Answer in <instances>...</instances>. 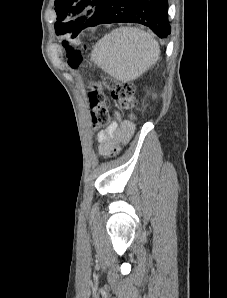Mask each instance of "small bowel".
Segmentation results:
<instances>
[{
  "instance_id": "c3829d8e",
  "label": "small bowel",
  "mask_w": 227,
  "mask_h": 298,
  "mask_svg": "<svg viewBox=\"0 0 227 298\" xmlns=\"http://www.w3.org/2000/svg\"><path fill=\"white\" fill-rule=\"evenodd\" d=\"M135 131V125L130 120H123L115 111V120L98 132V153L101 156L113 154L119 144L127 143Z\"/></svg>"
}]
</instances>
